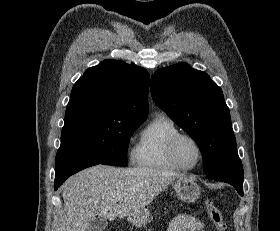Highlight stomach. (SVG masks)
<instances>
[{
	"mask_svg": "<svg viewBox=\"0 0 280 231\" xmlns=\"http://www.w3.org/2000/svg\"><path fill=\"white\" fill-rule=\"evenodd\" d=\"M173 187L178 199H182V201H187V203H191V201H196V199H199L201 195V189L199 185H197L195 177H189V175H184V177H177V179L173 181ZM148 217L149 209H145L140 219L130 217V221L131 223H133V225L141 227V225H145Z\"/></svg>",
	"mask_w": 280,
	"mask_h": 231,
	"instance_id": "1",
	"label": "stomach"
}]
</instances>
